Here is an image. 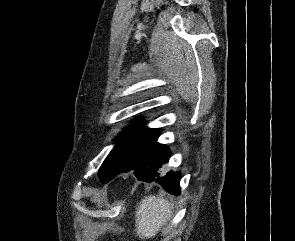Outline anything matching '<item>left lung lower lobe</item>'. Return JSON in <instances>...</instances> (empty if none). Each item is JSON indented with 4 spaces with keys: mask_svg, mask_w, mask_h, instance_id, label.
Instances as JSON below:
<instances>
[{
    "mask_svg": "<svg viewBox=\"0 0 295 241\" xmlns=\"http://www.w3.org/2000/svg\"><path fill=\"white\" fill-rule=\"evenodd\" d=\"M169 157V149L165 145L154 142L144 153L121 169L119 173L132 171L138 180L158 182L167 192L180 195L181 174L173 171L166 175L161 173V168L163 164L168 162Z\"/></svg>",
    "mask_w": 295,
    "mask_h": 241,
    "instance_id": "left-lung-lower-lobe-1",
    "label": "left lung lower lobe"
}]
</instances>
